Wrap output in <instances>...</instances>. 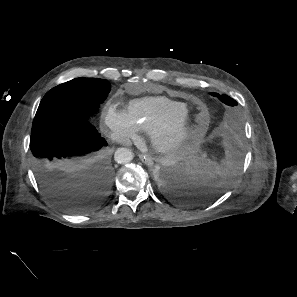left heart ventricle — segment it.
I'll use <instances>...</instances> for the list:
<instances>
[{
    "mask_svg": "<svg viewBox=\"0 0 297 297\" xmlns=\"http://www.w3.org/2000/svg\"><path fill=\"white\" fill-rule=\"evenodd\" d=\"M178 132L177 130H173L169 135L168 138L172 137L173 135H176Z\"/></svg>",
    "mask_w": 297,
    "mask_h": 297,
    "instance_id": "b2bd125f",
    "label": "left heart ventricle"
}]
</instances>
